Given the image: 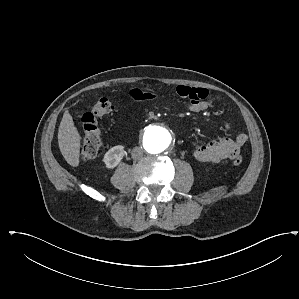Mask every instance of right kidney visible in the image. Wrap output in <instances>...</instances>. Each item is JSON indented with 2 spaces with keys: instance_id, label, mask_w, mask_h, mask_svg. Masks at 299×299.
<instances>
[{
  "instance_id": "ca27d5eb",
  "label": "right kidney",
  "mask_w": 299,
  "mask_h": 299,
  "mask_svg": "<svg viewBox=\"0 0 299 299\" xmlns=\"http://www.w3.org/2000/svg\"><path fill=\"white\" fill-rule=\"evenodd\" d=\"M124 156V147L121 145H117L109 149L103 158V162L105 163L107 168H115Z\"/></svg>"
}]
</instances>
